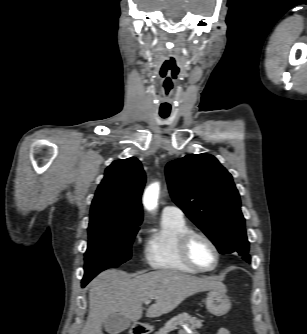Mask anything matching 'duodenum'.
I'll use <instances>...</instances> for the list:
<instances>
[{
	"instance_id": "1",
	"label": "duodenum",
	"mask_w": 307,
	"mask_h": 334,
	"mask_svg": "<svg viewBox=\"0 0 307 334\" xmlns=\"http://www.w3.org/2000/svg\"><path fill=\"white\" fill-rule=\"evenodd\" d=\"M150 331L147 330L146 328H142V327H136L132 330L131 334H149Z\"/></svg>"
}]
</instances>
